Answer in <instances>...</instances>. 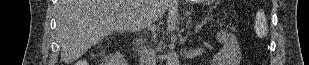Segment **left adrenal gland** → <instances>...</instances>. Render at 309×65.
<instances>
[{
  "instance_id": "obj_1",
  "label": "left adrenal gland",
  "mask_w": 309,
  "mask_h": 65,
  "mask_svg": "<svg viewBox=\"0 0 309 65\" xmlns=\"http://www.w3.org/2000/svg\"><path fill=\"white\" fill-rule=\"evenodd\" d=\"M202 24H203V21L200 24L196 25L195 28H194V32H198V30L201 28ZM188 33H190V31Z\"/></svg>"
}]
</instances>
